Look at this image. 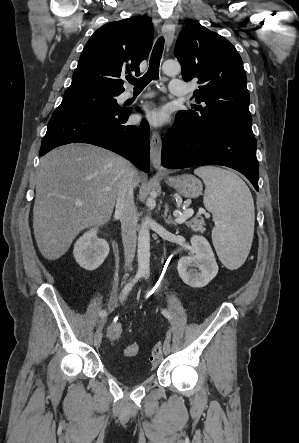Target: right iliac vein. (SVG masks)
<instances>
[{
	"instance_id": "obj_1",
	"label": "right iliac vein",
	"mask_w": 299,
	"mask_h": 443,
	"mask_svg": "<svg viewBox=\"0 0 299 443\" xmlns=\"http://www.w3.org/2000/svg\"><path fill=\"white\" fill-rule=\"evenodd\" d=\"M102 324L103 320L100 321V326L97 328L95 334H94V345L98 347L102 340Z\"/></svg>"
}]
</instances>
